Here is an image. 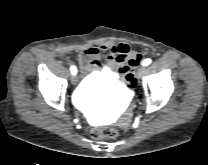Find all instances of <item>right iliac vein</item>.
Returning a JSON list of instances; mask_svg holds the SVG:
<instances>
[{"label":"right iliac vein","mask_w":208,"mask_h":165,"mask_svg":"<svg viewBox=\"0 0 208 165\" xmlns=\"http://www.w3.org/2000/svg\"><path fill=\"white\" fill-rule=\"evenodd\" d=\"M77 81H78L77 76L76 75H72L71 76V82H72V84L73 85H76L77 84Z\"/></svg>","instance_id":"63e3f726"}]
</instances>
